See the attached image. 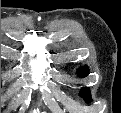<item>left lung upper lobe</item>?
<instances>
[{
	"label": "left lung upper lobe",
	"mask_w": 121,
	"mask_h": 113,
	"mask_svg": "<svg viewBox=\"0 0 121 113\" xmlns=\"http://www.w3.org/2000/svg\"><path fill=\"white\" fill-rule=\"evenodd\" d=\"M78 72L80 73L81 76L85 77L86 75H88L89 69L88 67L84 66L83 68H79ZM82 95L86 102H90L92 100L90 96V92L87 87L83 88Z\"/></svg>",
	"instance_id": "5c2ea615"
}]
</instances>
